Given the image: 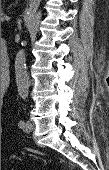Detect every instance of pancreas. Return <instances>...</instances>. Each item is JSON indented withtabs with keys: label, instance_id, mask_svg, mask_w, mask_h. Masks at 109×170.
Instances as JSON below:
<instances>
[{
	"label": "pancreas",
	"instance_id": "pancreas-1",
	"mask_svg": "<svg viewBox=\"0 0 109 170\" xmlns=\"http://www.w3.org/2000/svg\"><path fill=\"white\" fill-rule=\"evenodd\" d=\"M3 16H5V14H4V11L1 10V19H2Z\"/></svg>",
	"mask_w": 109,
	"mask_h": 170
}]
</instances>
